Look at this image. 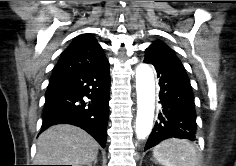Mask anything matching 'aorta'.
Instances as JSON below:
<instances>
[{
  "label": "aorta",
  "instance_id": "762f6f07",
  "mask_svg": "<svg viewBox=\"0 0 236 166\" xmlns=\"http://www.w3.org/2000/svg\"><path fill=\"white\" fill-rule=\"evenodd\" d=\"M136 91V136L145 139L152 130L155 110L154 73L147 64H139L136 68Z\"/></svg>",
  "mask_w": 236,
  "mask_h": 166
}]
</instances>
